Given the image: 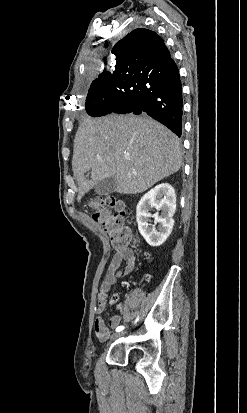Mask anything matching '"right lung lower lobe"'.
<instances>
[{"label":"right lung lower lobe","mask_w":247,"mask_h":413,"mask_svg":"<svg viewBox=\"0 0 247 413\" xmlns=\"http://www.w3.org/2000/svg\"><path fill=\"white\" fill-rule=\"evenodd\" d=\"M123 82L122 93L110 99L98 116L146 113L181 136L182 86L173 59L158 72L129 75Z\"/></svg>","instance_id":"1"}]
</instances>
